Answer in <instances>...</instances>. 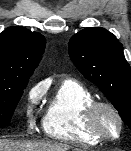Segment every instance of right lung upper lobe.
<instances>
[{
	"instance_id": "1",
	"label": "right lung upper lobe",
	"mask_w": 131,
	"mask_h": 151,
	"mask_svg": "<svg viewBox=\"0 0 131 151\" xmlns=\"http://www.w3.org/2000/svg\"><path fill=\"white\" fill-rule=\"evenodd\" d=\"M46 40L24 27L0 33V82H28L38 66Z\"/></svg>"
}]
</instances>
